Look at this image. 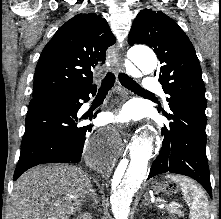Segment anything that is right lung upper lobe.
Returning a JSON list of instances; mask_svg holds the SVG:
<instances>
[{
    "instance_id": "1",
    "label": "right lung upper lobe",
    "mask_w": 221,
    "mask_h": 219,
    "mask_svg": "<svg viewBox=\"0 0 221 219\" xmlns=\"http://www.w3.org/2000/svg\"><path fill=\"white\" fill-rule=\"evenodd\" d=\"M115 41L101 16H74L43 49L35 69L33 98L96 88L92 71L105 62L106 50Z\"/></svg>"
}]
</instances>
